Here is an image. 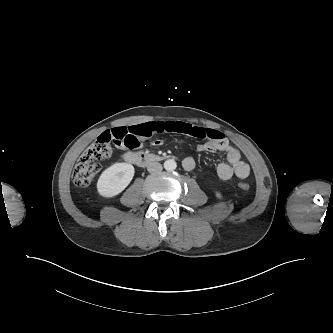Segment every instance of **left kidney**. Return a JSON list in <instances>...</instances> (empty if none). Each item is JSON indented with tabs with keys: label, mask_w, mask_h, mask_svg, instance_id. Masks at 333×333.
Wrapping results in <instances>:
<instances>
[{
	"label": "left kidney",
	"mask_w": 333,
	"mask_h": 333,
	"mask_svg": "<svg viewBox=\"0 0 333 333\" xmlns=\"http://www.w3.org/2000/svg\"><path fill=\"white\" fill-rule=\"evenodd\" d=\"M216 196H217L218 198H220V197H221L220 192H216Z\"/></svg>",
	"instance_id": "1"
}]
</instances>
